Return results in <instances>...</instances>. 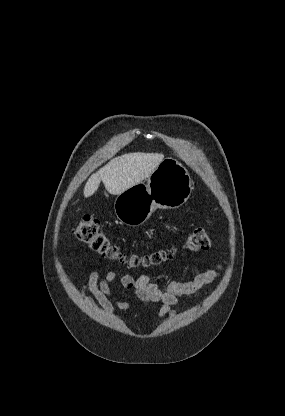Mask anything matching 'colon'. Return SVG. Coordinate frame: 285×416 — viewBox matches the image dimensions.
Returning a JSON list of instances; mask_svg holds the SVG:
<instances>
[{
    "mask_svg": "<svg viewBox=\"0 0 285 416\" xmlns=\"http://www.w3.org/2000/svg\"><path fill=\"white\" fill-rule=\"evenodd\" d=\"M73 235L77 240L84 243L94 252L102 257L117 261L130 268L139 266H156L167 261L171 256V251L159 250L149 253L143 257L136 255H125L119 247L112 243L100 228L97 218L87 215L75 226ZM211 243V233L207 228H196L185 240L184 248L190 252H200L209 248Z\"/></svg>",
    "mask_w": 285,
    "mask_h": 416,
    "instance_id": "colon-1",
    "label": "colon"
}]
</instances>
